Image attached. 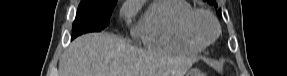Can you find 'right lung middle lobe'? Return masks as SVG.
Masks as SVG:
<instances>
[{"instance_id":"right-lung-middle-lobe-1","label":"right lung middle lobe","mask_w":287,"mask_h":76,"mask_svg":"<svg viewBox=\"0 0 287 76\" xmlns=\"http://www.w3.org/2000/svg\"><path fill=\"white\" fill-rule=\"evenodd\" d=\"M117 0H82L73 23L72 39L88 32L102 31L109 25V19Z\"/></svg>"}]
</instances>
